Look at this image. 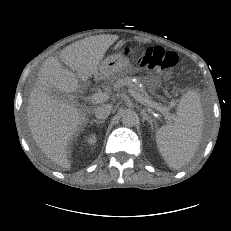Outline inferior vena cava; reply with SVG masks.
Wrapping results in <instances>:
<instances>
[{
    "label": "inferior vena cava",
    "instance_id": "obj_1",
    "mask_svg": "<svg viewBox=\"0 0 231 231\" xmlns=\"http://www.w3.org/2000/svg\"><path fill=\"white\" fill-rule=\"evenodd\" d=\"M111 110L112 106L110 104H103L94 110L95 117L104 120L110 115Z\"/></svg>",
    "mask_w": 231,
    "mask_h": 231
}]
</instances>
